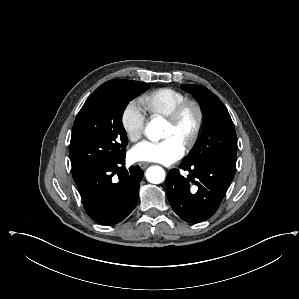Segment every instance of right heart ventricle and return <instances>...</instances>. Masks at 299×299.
I'll return each instance as SVG.
<instances>
[{"instance_id": "obj_1", "label": "right heart ventricle", "mask_w": 299, "mask_h": 299, "mask_svg": "<svg viewBox=\"0 0 299 299\" xmlns=\"http://www.w3.org/2000/svg\"><path fill=\"white\" fill-rule=\"evenodd\" d=\"M185 99L187 97L181 91L164 87L145 95L142 103L152 116L168 117L176 106Z\"/></svg>"}]
</instances>
